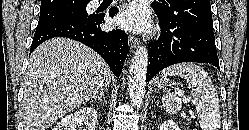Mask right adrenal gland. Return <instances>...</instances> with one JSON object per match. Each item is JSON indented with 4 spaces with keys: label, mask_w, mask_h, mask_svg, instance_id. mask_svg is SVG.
Instances as JSON below:
<instances>
[{
    "label": "right adrenal gland",
    "mask_w": 249,
    "mask_h": 130,
    "mask_svg": "<svg viewBox=\"0 0 249 130\" xmlns=\"http://www.w3.org/2000/svg\"><path fill=\"white\" fill-rule=\"evenodd\" d=\"M106 90H107V89L102 90L98 96L94 97V99H95V100L102 101V97L104 96V92H105Z\"/></svg>",
    "instance_id": "2a0ac1e0"
}]
</instances>
